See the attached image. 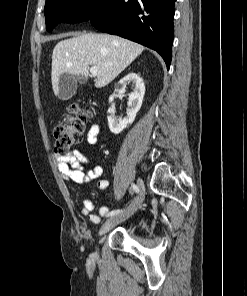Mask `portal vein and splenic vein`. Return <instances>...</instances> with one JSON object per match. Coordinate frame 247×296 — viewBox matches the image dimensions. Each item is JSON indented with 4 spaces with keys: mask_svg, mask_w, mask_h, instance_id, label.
<instances>
[{
    "mask_svg": "<svg viewBox=\"0 0 247 296\" xmlns=\"http://www.w3.org/2000/svg\"><path fill=\"white\" fill-rule=\"evenodd\" d=\"M97 71H98V69H97L96 66H92V67L90 68V73H91L92 75H94V76L97 74Z\"/></svg>",
    "mask_w": 247,
    "mask_h": 296,
    "instance_id": "obj_1",
    "label": "portal vein and splenic vein"
}]
</instances>
